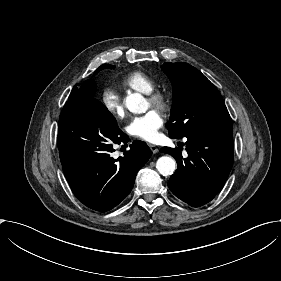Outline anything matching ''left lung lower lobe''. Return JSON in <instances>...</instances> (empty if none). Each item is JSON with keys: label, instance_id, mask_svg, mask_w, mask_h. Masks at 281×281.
Wrapping results in <instances>:
<instances>
[{"label": "left lung lower lobe", "instance_id": "0a47b994", "mask_svg": "<svg viewBox=\"0 0 281 281\" xmlns=\"http://www.w3.org/2000/svg\"><path fill=\"white\" fill-rule=\"evenodd\" d=\"M187 138L188 157L183 159L178 148L163 147L178 168L170 177L171 192L193 207L211 201L222 189L233 165V131L215 130L192 133Z\"/></svg>", "mask_w": 281, "mask_h": 281}]
</instances>
